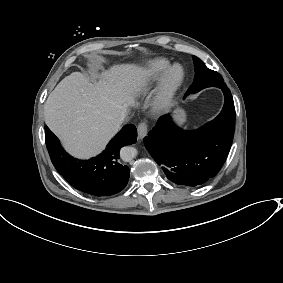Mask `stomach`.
Masks as SVG:
<instances>
[{"label": "stomach", "instance_id": "stomach-1", "mask_svg": "<svg viewBox=\"0 0 283 283\" xmlns=\"http://www.w3.org/2000/svg\"><path fill=\"white\" fill-rule=\"evenodd\" d=\"M176 121L180 124L184 123L186 121V113L183 109L178 108L175 111V115H174Z\"/></svg>", "mask_w": 283, "mask_h": 283}]
</instances>
